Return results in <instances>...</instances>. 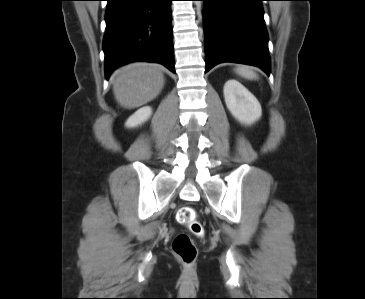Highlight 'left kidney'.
<instances>
[{"instance_id":"1","label":"left kidney","mask_w":365,"mask_h":299,"mask_svg":"<svg viewBox=\"0 0 365 299\" xmlns=\"http://www.w3.org/2000/svg\"><path fill=\"white\" fill-rule=\"evenodd\" d=\"M223 92L228 110L239 122L251 125L261 118L260 103L241 83L236 80H228Z\"/></svg>"}]
</instances>
